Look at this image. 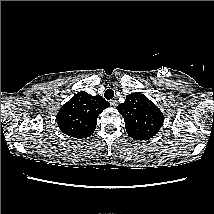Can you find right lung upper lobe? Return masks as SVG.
I'll list each match as a JSON object with an SVG mask.
<instances>
[{
    "instance_id": "obj_1",
    "label": "right lung upper lobe",
    "mask_w": 214,
    "mask_h": 214,
    "mask_svg": "<svg viewBox=\"0 0 214 214\" xmlns=\"http://www.w3.org/2000/svg\"><path fill=\"white\" fill-rule=\"evenodd\" d=\"M110 104L100 95L81 91L59 110L56 120L60 130L68 136L81 139L93 134L99 114Z\"/></svg>"
}]
</instances>
